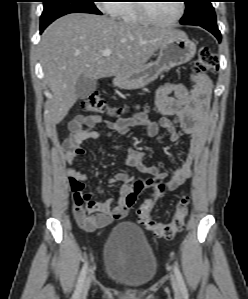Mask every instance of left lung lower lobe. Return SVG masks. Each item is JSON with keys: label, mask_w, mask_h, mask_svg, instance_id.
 I'll use <instances>...</instances> for the list:
<instances>
[{"label": "left lung lower lobe", "mask_w": 248, "mask_h": 299, "mask_svg": "<svg viewBox=\"0 0 248 299\" xmlns=\"http://www.w3.org/2000/svg\"><path fill=\"white\" fill-rule=\"evenodd\" d=\"M200 26L208 30L209 32H211L218 39L219 42L221 41V34L217 25H200Z\"/></svg>", "instance_id": "0a47b994"}]
</instances>
